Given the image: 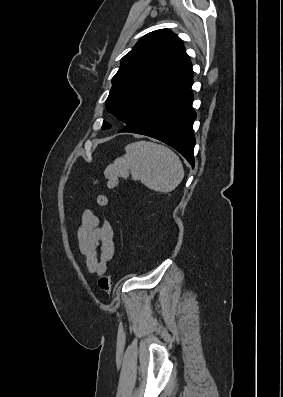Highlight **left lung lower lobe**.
<instances>
[{
  "instance_id": "obj_1",
  "label": "left lung lower lobe",
  "mask_w": 283,
  "mask_h": 397,
  "mask_svg": "<svg viewBox=\"0 0 283 397\" xmlns=\"http://www.w3.org/2000/svg\"><path fill=\"white\" fill-rule=\"evenodd\" d=\"M193 79L177 91L153 104L119 132L156 138L176 149L194 167L195 136L192 129L196 113L192 107Z\"/></svg>"
}]
</instances>
